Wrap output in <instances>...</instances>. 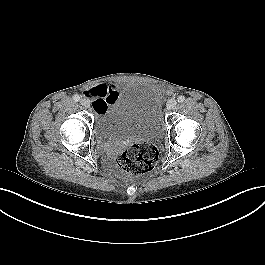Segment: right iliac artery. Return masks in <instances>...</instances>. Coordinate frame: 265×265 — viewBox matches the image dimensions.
Wrapping results in <instances>:
<instances>
[{
  "instance_id": "right-iliac-artery-1",
  "label": "right iliac artery",
  "mask_w": 265,
  "mask_h": 265,
  "mask_svg": "<svg viewBox=\"0 0 265 265\" xmlns=\"http://www.w3.org/2000/svg\"><path fill=\"white\" fill-rule=\"evenodd\" d=\"M73 100L76 101V102H78L80 100V96L78 94H75L73 96Z\"/></svg>"
}]
</instances>
